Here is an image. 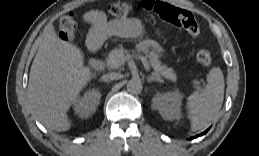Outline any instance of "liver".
<instances>
[{
  "label": "liver",
  "instance_id": "obj_1",
  "mask_svg": "<svg viewBox=\"0 0 259 156\" xmlns=\"http://www.w3.org/2000/svg\"><path fill=\"white\" fill-rule=\"evenodd\" d=\"M95 76L84 66L81 50L62 39L52 24L45 27L31 65L28 98L38 120L55 131L71 128L67 111Z\"/></svg>",
  "mask_w": 259,
  "mask_h": 156
}]
</instances>
